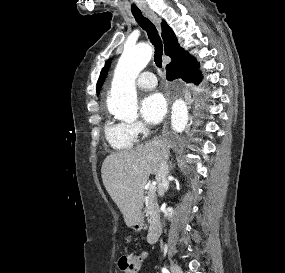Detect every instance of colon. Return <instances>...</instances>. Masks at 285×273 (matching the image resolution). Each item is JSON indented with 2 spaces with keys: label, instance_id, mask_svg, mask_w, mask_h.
Returning <instances> with one entry per match:
<instances>
[{
  "label": "colon",
  "instance_id": "obj_1",
  "mask_svg": "<svg viewBox=\"0 0 285 273\" xmlns=\"http://www.w3.org/2000/svg\"><path fill=\"white\" fill-rule=\"evenodd\" d=\"M145 255H125L119 259V268L122 273H137L143 263Z\"/></svg>",
  "mask_w": 285,
  "mask_h": 273
}]
</instances>
